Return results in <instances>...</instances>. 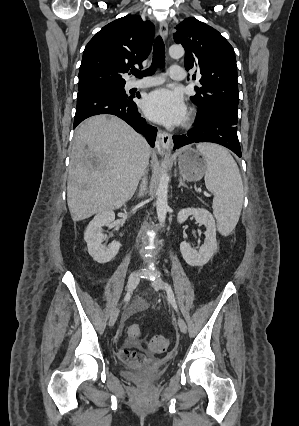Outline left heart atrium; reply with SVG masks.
Here are the masks:
<instances>
[{"label":"left heart atrium","mask_w":299,"mask_h":426,"mask_svg":"<svg viewBox=\"0 0 299 426\" xmlns=\"http://www.w3.org/2000/svg\"><path fill=\"white\" fill-rule=\"evenodd\" d=\"M146 116L164 125H178L186 118V106L182 96L167 88L150 92L143 101Z\"/></svg>","instance_id":"obj_1"}]
</instances>
